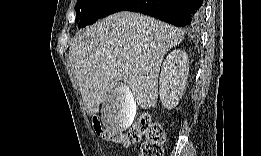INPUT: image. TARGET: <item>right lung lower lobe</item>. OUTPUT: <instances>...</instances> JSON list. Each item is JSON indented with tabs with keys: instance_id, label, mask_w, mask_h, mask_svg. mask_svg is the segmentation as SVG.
<instances>
[{
	"instance_id": "right-lung-lower-lobe-1",
	"label": "right lung lower lobe",
	"mask_w": 261,
	"mask_h": 156,
	"mask_svg": "<svg viewBox=\"0 0 261 156\" xmlns=\"http://www.w3.org/2000/svg\"><path fill=\"white\" fill-rule=\"evenodd\" d=\"M202 3V0H125L112 13L139 12L177 27L193 28L202 17Z\"/></svg>"
}]
</instances>
